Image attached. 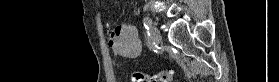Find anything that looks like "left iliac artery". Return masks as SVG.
I'll return each mask as SVG.
<instances>
[{
  "instance_id": "1",
  "label": "left iliac artery",
  "mask_w": 279,
  "mask_h": 82,
  "mask_svg": "<svg viewBox=\"0 0 279 82\" xmlns=\"http://www.w3.org/2000/svg\"><path fill=\"white\" fill-rule=\"evenodd\" d=\"M151 24H152V20L150 17L146 16L143 18V25H144V28L146 29L148 35H150V33L148 31L150 29Z\"/></svg>"
}]
</instances>
